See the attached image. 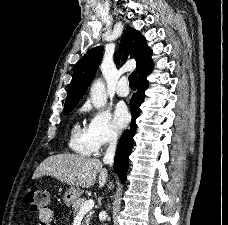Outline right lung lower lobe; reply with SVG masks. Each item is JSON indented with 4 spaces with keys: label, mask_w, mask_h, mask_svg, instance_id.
<instances>
[{
    "label": "right lung lower lobe",
    "mask_w": 228,
    "mask_h": 225,
    "mask_svg": "<svg viewBox=\"0 0 228 225\" xmlns=\"http://www.w3.org/2000/svg\"><path fill=\"white\" fill-rule=\"evenodd\" d=\"M152 70V61L138 71V88L137 92L132 96L130 102V109L132 113V122L130 124V130H126L117 147V152L114 160V169L121 182L124 183L127 176L129 155L133 146V137L136 132V118L140 114L139 106L144 101V91L148 87V81L146 77Z\"/></svg>",
    "instance_id": "obj_1"
}]
</instances>
